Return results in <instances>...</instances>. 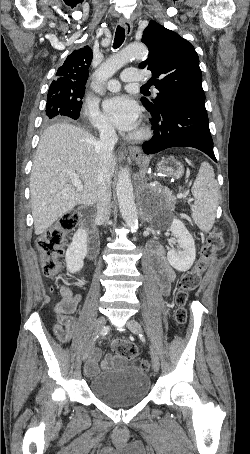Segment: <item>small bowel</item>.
Listing matches in <instances>:
<instances>
[{
  "label": "small bowel",
  "mask_w": 250,
  "mask_h": 454,
  "mask_svg": "<svg viewBox=\"0 0 250 454\" xmlns=\"http://www.w3.org/2000/svg\"><path fill=\"white\" fill-rule=\"evenodd\" d=\"M152 269L155 275L157 284L162 293L167 294L170 291L171 284L176 279V273L169 264L165 250L160 245H152L150 247ZM61 299L54 308L57 323L54 326V332L57 338L63 342H69L76 330V321L73 314L76 312L80 302L81 295L73 294L71 289L63 286L60 290ZM100 351L93 350L87 358L84 366L86 375L93 376L99 370L109 367L115 362L112 356H107L99 362Z\"/></svg>",
  "instance_id": "1"
}]
</instances>
